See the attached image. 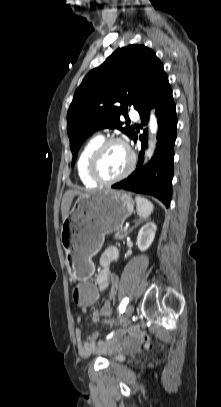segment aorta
<instances>
[{
  "instance_id": "aorta-1",
  "label": "aorta",
  "mask_w": 221,
  "mask_h": 407,
  "mask_svg": "<svg viewBox=\"0 0 221 407\" xmlns=\"http://www.w3.org/2000/svg\"><path fill=\"white\" fill-rule=\"evenodd\" d=\"M158 128L156 117L152 114L150 117V130L152 133H156ZM151 155V153H150Z\"/></svg>"
}]
</instances>
